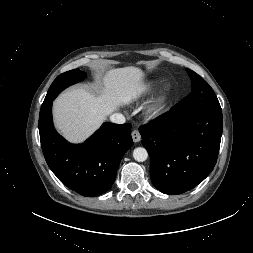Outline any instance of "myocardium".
Listing matches in <instances>:
<instances>
[{
    "label": "myocardium",
    "mask_w": 253,
    "mask_h": 253,
    "mask_svg": "<svg viewBox=\"0 0 253 253\" xmlns=\"http://www.w3.org/2000/svg\"><path fill=\"white\" fill-rule=\"evenodd\" d=\"M170 92H171L170 84L164 85L159 94L147 106L146 115L148 117L152 118L160 113Z\"/></svg>",
    "instance_id": "obj_1"
}]
</instances>
